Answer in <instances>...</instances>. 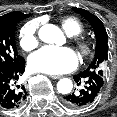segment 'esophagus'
Wrapping results in <instances>:
<instances>
[{
  "label": "esophagus",
  "mask_w": 117,
  "mask_h": 117,
  "mask_svg": "<svg viewBox=\"0 0 117 117\" xmlns=\"http://www.w3.org/2000/svg\"><path fill=\"white\" fill-rule=\"evenodd\" d=\"M50 78H52V79H60L61 78V76L60 75H51L50 76Z\"/></svg>",
  "instance_id": "esophagus-1"
}]
</instances>
